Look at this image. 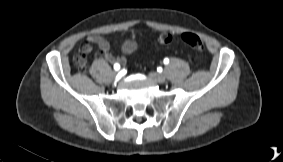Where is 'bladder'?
I'll use <instances>...</instances> for the list:
<instances>
[{
  "mask_svg": "<svg viewBox=\"0 0 283 162\" xmlns=\"http://www.w3.org/2000/svg\"><path fill=\"white\" fill-rule=\"evenodd\" d=\"M124 49H125L127 52H130V51L132 50V45H131L130 43H127V44H125Z\"/></svg>",
  "mask_w": 283,
  "mask_h": 162,
  "instance_id": "bladder-1",
  "label": "bladder"
}]
</instances>
